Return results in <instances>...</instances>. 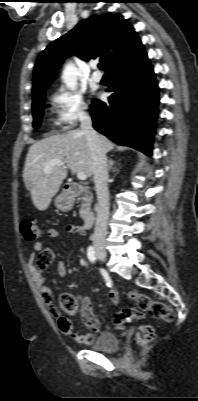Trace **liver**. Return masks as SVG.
<instances>
[{
  "label": "liver",
  "instance_id": "liver-1",
  "mask_svg": "<svg viewBox=\"0 0 198 401\" xmlns=\"http://www.w3.org/2000/svg\"><path fill=\"white\" fill-rule=\"evenodd\" d=\"M106 152L113 149V143L99 135ZM65 160L71 172H85L92 176V153L87 135L81 129L70 130L61 135H53L30 146L23 171L26 188L30 191L35 207L46 210L51 199L59 191L67 171L62 166H54L44 173L45 166L52 160Z\"/></svg>",
  "mask_w": 198,
  "mask_h": 401
}]
</instances>
